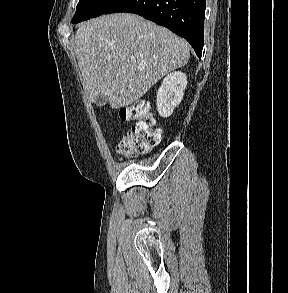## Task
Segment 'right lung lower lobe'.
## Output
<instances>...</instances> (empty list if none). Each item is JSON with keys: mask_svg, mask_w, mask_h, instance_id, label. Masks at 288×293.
Segmentation results:
<instances>
[{"mask_svg": "<svg viewBox=\"0 0 288 293\" xmlns=\"http://www.w3.org/2000/svg\"><path fill=\"white\" fill-rule=\"evenodd\" d=\"M206 0H120L105 14L135 13L185 38L201 59Z\"/></svg>", "mask_w": 288, "mask_h": 293, "instance_id": "1", "label": "right lung lower lobe"}]
</instances>
